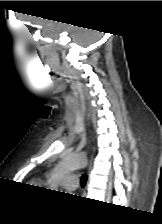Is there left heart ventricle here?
Returning a JSON list of instances; mask_svg holds the SVG:
<instances>
[{
	"mask_svg": "<svg viewBox=\"0 0 162 224\" xmlns=\"http://www.w3.org/2000/svg\"><path fill=\"white\" fill-rule=\"evenodd\" d=\"M64 181H65V179L60 183L61 187H64Z\"/></svg>",
	"mask_w": 162,
	"mask_h": 224,
	"instance_id": "1",
	"label": "left heart ventricle"
}]
</instances>
